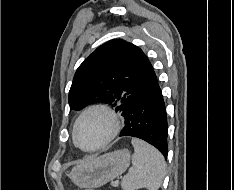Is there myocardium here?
<instances>
[{
	"label": "myocardium",
	"mask_w": 234,
	"mask_h": 190,
	"mask_svg": "<svg viewBox=\"0 0 234 190\" xmlns=\"http://www.w3.org/2000/svg\"><path fill=\"white\" fill-rule=\"evenodd\" d=\"M91 114L104 115L107 118V120L109 121L110 129H109L107 136L105 137V139L103 141H101L99 144H97L93 147L85 148L79 143L77 134H78V129H79L81 122L87 116H89ZM119 130H120V121H119V118H118L117 114L115 113V111L107 105L94 104V105L87 107L78 116V118L76 119L74 126H73L72 136H73V141H74L75 145L77 147H79L81 150H83L85 152H94V151H97V150L105 147L106 145H108L116 137Z\"/></svg>",
	"instance_id": "f54148a6"
}]
</instances>
